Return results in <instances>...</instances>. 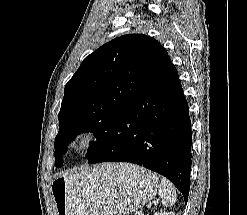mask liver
Wrapping results in <instances>:
<instances>
[{
	"label": "liver",
	"mask_w": 247,
	"mask_h": 215,
	"mask_svg": "<svg viewBox=\"0 0 247 215\" xmlns=\"http://www.w3.org/2000/svg\"><path fill=\"white\" fill-rule=\"evenodd\" d=\"M103 168L110 172L112 170V164H104Z\"/></svg>",
	"instance_id": "obj_1"
}]
</instances>
